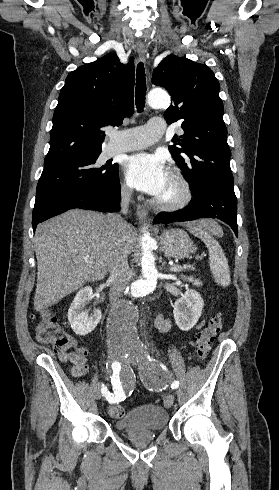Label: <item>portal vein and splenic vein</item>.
Here are the masks:
<instances>
[{
    "instance_id": "portal-vein-and-splenic-vein-1",
    "label": "portal vein and splenic vein",
    "mask_w": 279,
    "mask_h": 490,
    "mask_svg": "<svg viewBox=\"0 0 279 490\" xmlns=\"http://www.w3.org/2000/svg\"><path fill=\"white\" fill-rule=\"evenodd\" d=\"M186 268H192V266H187V264L185 266H172L170 270L171 272H181V270H186Z\"/></svg>"
}]
</instances>
